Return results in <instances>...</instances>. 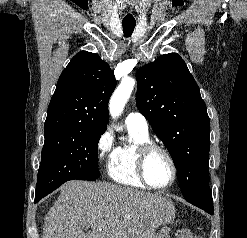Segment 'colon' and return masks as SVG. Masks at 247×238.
<instances>
[{"label": "colon", "mask_w": 247, "mask_h": 238, "mask_svg": "<svg viewBox=\"0 0 247 238\" xmlns=\"http://www.w3.org/2000/svg\"><path fill=\"white\" fill-rule=\"evenodd\" d=\"M175 238H200L190 229H179L175 234Z\"/></svg>", "instance_id": "obj_1"}]
</instances>
